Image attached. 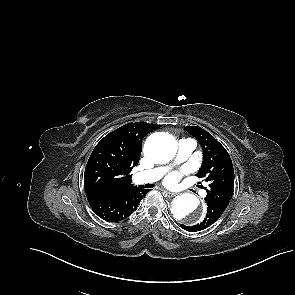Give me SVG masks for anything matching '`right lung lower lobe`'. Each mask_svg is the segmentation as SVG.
<instances>
[{"label": "right lung lower lobe", "mask_w": 295, "mask_h": 295, "mask_svg": "<svg viewBox=\"0 0 295 295\" xmlns=\"http://www.w3.org/2000/svg\"><path fill=\"white\" fill-rule=\"evenodd\" d=\"M147 193L143 187L134 186L120 192L86 193V196L99 217L118 222L130 216Z\"/></svg>", "instance_id": "98d812e1"}]
</instances>
